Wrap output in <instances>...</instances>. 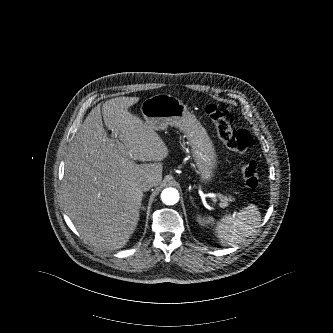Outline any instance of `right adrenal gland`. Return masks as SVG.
Returning a JSON list of instances; mask_svg holds the SVG:
<instances>
[{
  "label": "right adrenal gland",
  "mask_w": 333,
  "mask_h": 333,
  "mask_svg": "<svg viewBox=\"0 0 333 333\" xmlns=\"http://www.w3.org/2000/svg\"><path fill=\"white\" fill-rule=\"evenodd\" d=\"M145 196H143V198H144ZM141 209L143 210L144 209V207L143 206H141Z\"/></svg>",
  "instance_id": "1"
}]
</instances>
